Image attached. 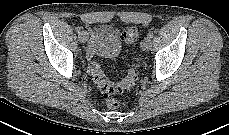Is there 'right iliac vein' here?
<instances>
[{
    "label": "right iliac vein",
    "mask_w": 229,
    "mask_h": 135,
    "mask_svg": "<svg viewBox=\"0 0 229 135\" xmlns=\"http://www.w3.org/2000/svg\"><path fill=\"white\" fill-rule=\"evenodd\" d=\"M88 37V33L84 31L79 34L78 39L81 43H85L88 40Z\"/></svg>",
    "instance_id": "1"
}]
</instances>
